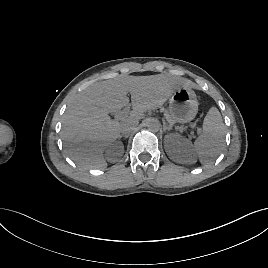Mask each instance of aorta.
<instances>
[{
  "label": "aorta",
  "instance_id": "762f6f07",
  "mask_svg": "<svg viewBox=\"0 0 268 268\" xmlns=\"http://www.w3.org/2000/svg\"><path fill=\"white\" fill-rule=\"evenodd\" d=\"M146 127L151 132H158L160 130V122L155 118H149L146 121Z\"/></svg>",
  "mask_w": 268,
  "mask_h": 268
}]
</instances>
